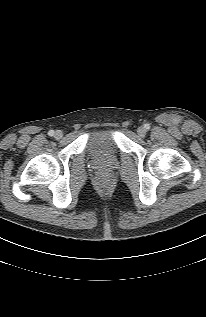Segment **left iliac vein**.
Segmentation results:
<instances>
[{"instance_id":"obj_1","label":"left iliac vein","mask_w":206,"mask_h":317,"mask_svg":"<svg viewBox=\"0 0 206 317\" xmlns=\"http://www.w3.org/2000/svg\"><path fill=\"white\" fill-rule=\"evenodd\" d=\"M137 133L140 137H144L146 135V129L144 127H139Z\"/></svg>"}]
</instances>
